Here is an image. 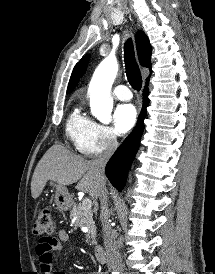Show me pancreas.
Returning <instances> with one entry per match:
<instances>
[{
    "label": "pancreas",
    "instance_id": "cf45deb5",
    "mask_svg": "<svg viewBox=\"0 0 215 274\" xmlns=\"http://www.w3.org/2000/svg\"><path fill=\"white\" fill-rule=\"evenodd\" d=\"M70 217L75 220V223L80 226L88 228L86 234V242L90 245H96V225L93 220V213L91 210H84L81 204L75 205L71 212Z\"/></svg>",
    "mask_w": 215,
    "mask_h": 274
}]
</instances>
